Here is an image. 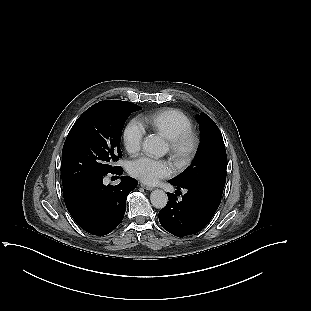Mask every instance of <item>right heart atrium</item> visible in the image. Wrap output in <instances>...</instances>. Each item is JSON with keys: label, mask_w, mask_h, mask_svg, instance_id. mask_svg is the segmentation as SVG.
Instances as JSON below:
<instances>
[{"label": "right heart atrium", "mask_w": 311, "mask_h": 311, "mask_svg": "<svg viewBox=\"0 0 311 311\" xmlns=\"http://www.w3.org/2000/svg\"><path fill=\"white\" fill-rule=\"evenodd\" d=\"M145 131L143 127L135 120H131L125 127L123 132L124 143L127 150L131 154L139 152Z\"/></svg>", "instance_id": "right-heart-atrium-1"}]
</instances>
